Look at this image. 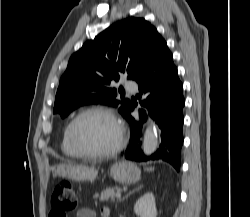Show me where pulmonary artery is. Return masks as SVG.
I'll use <instances>...</instances> for the list:
<instances>
[{
    "label": "pulmonary artery",
    "instance_id": "1",
    "mask_svg": "<svg viewBox=\"0 0 250 217\" xmlns=\"http://www.w3.org/2000/svg\"><path fill=\"white\" fill-rule=\"evenodd\" d=\"M124 85L129 92H136L138 90V84L135 81H126Z\"/></svg>",
    "mask_w": 250,
    "mask_h": 217
}]
</instances>
